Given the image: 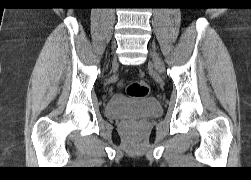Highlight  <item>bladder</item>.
<instances>
[{
    "mask_svg": "<svg viewBox=\"0 0 251 180\" xmlns=\"http://www.w3.org/2000/svg\"><path fill=\"white\" fill-rule=\"evenodd\" d=\"M161 103L154 97L129 98L113 95L106 103L105 115L112 119H143L160 114Z\"/></svg>",
    "mask_w": 251,
    "mask_h": 180,
    "instance_id": "31cf9c89",
    "label": "bladder"
}]
</instances>
